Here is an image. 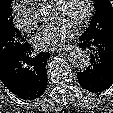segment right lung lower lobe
<instances>
[{
    "label": "right lung lower lobe",
    "instance_id": "right-lung-lower-lobe-1",
    "mask_svg": "<svg viewBox=\"0 0 113 113\" xmlns=\"http://www.w3.org/2000/svg\"><path fill=\"white\" fill-rule=\"evenodd\" d=\"M30 44L11 57L0 68V79L16 96L23 100H34L46 90L47 74L45 65L49 52L31 57Z\"/></svg>",
    "mask_w": 113,
    "mask_h": 113
}]
</instances>
